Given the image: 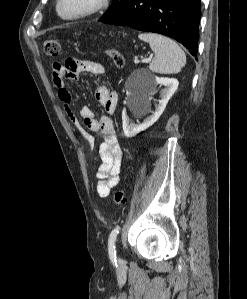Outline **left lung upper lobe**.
I'll return each mask as SVG.
<instances>
[{
  "instance_id": "5c2ea615",
  "label": "left lung upper lobe",
  "mask_w": 247,
  "mask_h": 299,
  "mask_svg": "<svg viewBox=\"0 0 247 299\" xmlns=\"http://www.w3.org/2000/svg\"><path fill=\"white\" fill-rule=\"evenodd\" d=\"M127 2V0H113L112 1V5L109 8L108 11H106L102 18H100L99 20L105 19L111 15H113L116 11H118L125 3Z\"/></svg>"
}]
</instances>
